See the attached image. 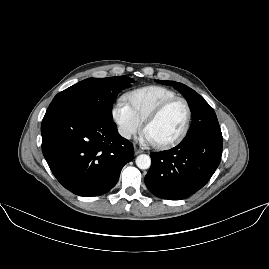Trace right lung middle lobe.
<instances>
[{
	"label": "right lung middle lobe",
	"instance_id": "right-lung-middle-lobe-1",
	"mask_svg": "<svg viewBox=\"0 0 269 269\" xmlns=\"http://www.w3.org/2000/svg\"><path fill=\"white\" fill-rule=\"evenodd\" d=\"M130 82L134 80L128 76L88 78L58 93L51 104L83 107L112 120L113 102Z\"/></svg>",
	"mask_w": 269,
	"mask_h": 269
}]
</instances>
